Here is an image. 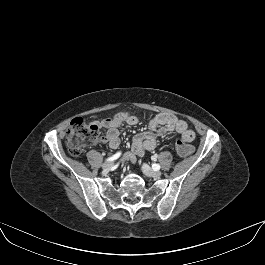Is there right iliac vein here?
<instances>
[{
	"label": "right iliac vein",
	"instance_id": "63e3f726",
	"mask_svg": "<svg viewBox=\"0 0 265 265\" xmlns=\"http://www.w3.org/2000/svg\"><path fill=\"white\" fill-rule=\"evenodd\" d=\"M111 166H112V162L108 161V162L103 163L102 168L108 171L111 168Z\"/></svg>",
	"mask_w": 265,
	"mask_h": 265
}]
</instances>
